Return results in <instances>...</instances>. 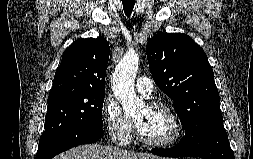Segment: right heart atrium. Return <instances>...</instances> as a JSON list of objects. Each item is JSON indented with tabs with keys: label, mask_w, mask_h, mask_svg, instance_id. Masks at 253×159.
Wrapping results in <instances>:
<instances>
[{
	"label": "right heart atrium",
	"mask_w": 253,
	"mask_h": 159,
	"mask_svg": "<svg viewBox=\"0 0 253 159\" xmlns=\"http://www.w3.org/2000/svg\"><path fill=\"white\" fill-rule=\"evenodd\" d=\"M104 128L111 139L120 144L128 143L134 131V124L122 110L117 101L111 97L104 99L101 107Z\"/></svg>",
	"instance_id": "1"
}]
</instances>
